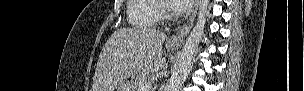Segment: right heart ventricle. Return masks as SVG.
<instances>
[{
  "label": "right heart ventricle",
  "mask_w": 304,
  "mask_h": 91,
  "mask_svg": "<svg viewBox=\"0 0 304 91\" xmlns=\"http://www.w3.org/2000/svg\"><path fill=\"white\" fill-rule=\"evenodd\" d=\"M158 9L157 0H129L128 21L137 28H153L159 20Z\"/></svg>",
  "instance_id": "e07e8e85"
}]
</instances>
